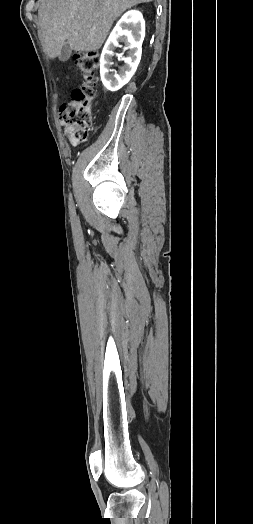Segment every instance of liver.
<instances>
[{
	"label": "liver",
	"mask_w": 253,
	"mask_h": 524,
	"mask_svg": "<svg viewBox=\"0 0 253 524\" xmlns=\"http://www.w3.org/2000/svg\"><path fill=\"white\" fill-rule=\"evenodd\" d=\"M152 0H41L38 10L44 50L57 57L67 43L74 51H96L113 22L127 9Z\"/></svg>",
	"instance_id": "6515ba94"
}]
</instances>
